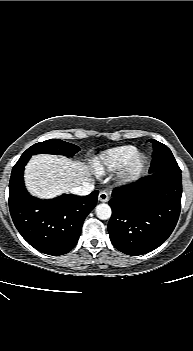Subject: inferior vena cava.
I'll list each match as a JSON object with an SVG mask.
<instances>
[{
  "label": "inferior vena cava",
  "instance_id": "obj_1",
  "mask_svg": "<svg viewBox=\"0 0 193 351\" xmlns=\"http://www.w3.org/2000/svg\"><path fill=\"white\" fill-rule=\"evenodd\" d=\"M93 190H94L93 183L84 182L82 185L72 188L71 192L78 196H86V195H89Z\"/></svg>",
  "mask_w": 193,
  "mask_h": 351
}]
</instances>
